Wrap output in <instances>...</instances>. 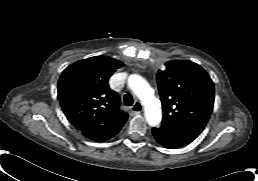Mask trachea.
Here are the masks:
<instances>
[{
    "instance_id": "3493384b",
    "label": "trachea",
    "mask_w": 258,
    "mask_h": 181,
    "mask_svg": "<svg viewBox=\"0 0 258 181\" xmlns=\"http://www.w3.org/2000/svg\"><path fill=\"white\" fill-rule=\"evenodd\" d=\"M133 102H134V100H133V97H132L131 94H125V95H124V104H125L126 106H131V105H133Z\"/></svg>"
}]
</instances>
